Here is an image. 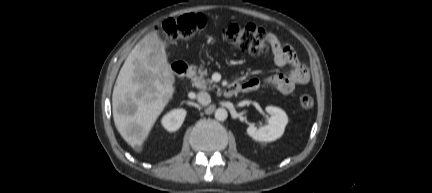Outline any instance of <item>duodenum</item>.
<instances>
[{"mask_svg": "<svg viewBox=\"0 0 432 193\" xmlns=\"http://www.w3.org/2000/svg\"><path fill=\"white\" fill-rule=\"evenodd\" d=\"M172 70L177 76L180 77H189L193 75V69L191 68V66L184 62H175L172 65ZM238 91H241V86L237 84H232L225 89L224 95L226 97H230Z\"/></svg>", "mask_w": 432, "mask_h": 193, "instance_id": "duodenum-1", "label": "duodenum"}]
</instances>
